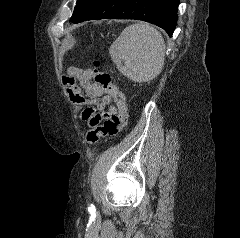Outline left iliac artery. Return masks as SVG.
<instances>
[{"label":"left iliac artery","instance_id":"1","mask_svg":"<svg viewBox=\"0 0 240 238\" xmlns=\"http://www.w3.org/2000/svg\"><path fill=\"white\" fill-rule=\"evenodd\" d=\"M89 209L92 210V209H94V207L92 206V207H90Z\"/></svg>","mask_w":240,"mask_h":238}]
</instances>
